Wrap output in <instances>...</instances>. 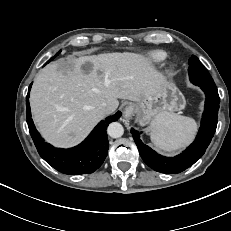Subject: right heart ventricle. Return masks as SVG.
I'll list each match as a JSON object with an SVG mask.
<instances>
[{"label":"right heart ventricle","instance_id":"obj_1","mask_svg":"<svg viewBox=\"0 0 231 231\" xmlns=\"http://www.w3.org/2000/svg\"><path fill=\"white\" fill-rule=\"evenodd\" d=\"M167 59V53L163 50H152L146 54L145 64L147 66H160Z\"/></svg>","mask_w":231,"mask_h":231}]
</instances>
